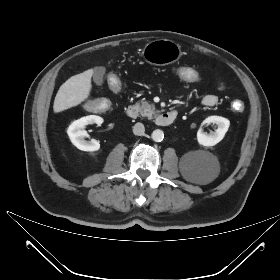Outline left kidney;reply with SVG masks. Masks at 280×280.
I'll return each instance as SVG.
<instances>
[{
	"instance_id": "left-kidney-1",
	"label": "left kidney",
	"mask_w": 280,
	"mask_h": 280,
	"mask_svg": "<svg viewBox=\"0 0 280 280\" xmlns=\"http://www.w3.org/2000/svg\"><path fill=\"white\" fill-rule=\"evenodd\" d=\"M214 123L217 125L215 132L207 134L199 129L197 132V141L203 146H214L219 143L225 136L228 128L230 126V121L227 118L221 116H209L204 121L203 124Z\"/></svg>"
}]
</instances>
